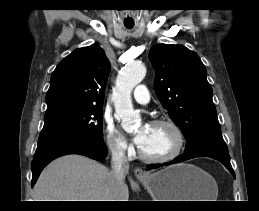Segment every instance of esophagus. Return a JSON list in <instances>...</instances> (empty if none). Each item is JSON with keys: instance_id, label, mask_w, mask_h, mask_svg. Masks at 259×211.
I'll list each match as a JSON object with an SVG mask.
<instances>
[{"instance_id": "1", "label": "esophagus", "mask_w": 259, "mask_h": 211, "mask_svg": "<svg viewBox=\"0 0 259 211\" xmlns=\"http://www.w3.org/2000/svg\"><path fill=\"white\" fill-rule=\"evenodd\" d=\"M134 174H135L136 178L139 180H143L148 177V175L141 168H136L134 170Z\"/></svg>"}]
</instances>
